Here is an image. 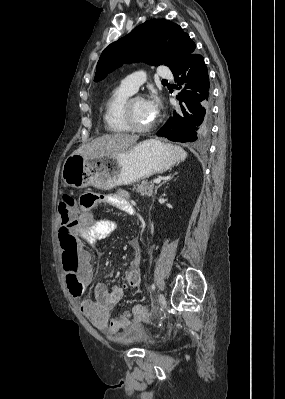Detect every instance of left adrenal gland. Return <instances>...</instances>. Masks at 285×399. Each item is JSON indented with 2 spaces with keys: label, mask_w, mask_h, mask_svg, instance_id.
Returning <instances> with one entry per match:
<instances>
[{
  "label": "left adrenal gland",
  "mask_w": 285,
  "mask_h": 399,
  "mask_svg": "<svg viewBox=\"0 0 285 399\" xmlns=\"http://www.w3.org/2000/svg\"><path fill=\"white\" fill-rule=\"evenodd\" d=\"M176 175H177V172H175L171 177H168L167 179H165V181H163V182L157 187V189L160 188L164 183L170 181V180H171L172 178H174V176H176ZM157 189L155 190V194L157 193Z\"/></svg>",
  "instance_id": "obj_1"
}]
</instances>
